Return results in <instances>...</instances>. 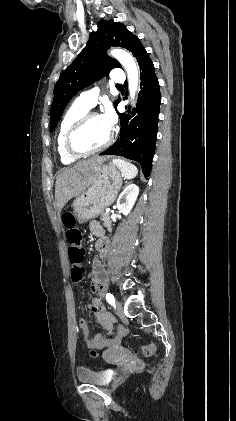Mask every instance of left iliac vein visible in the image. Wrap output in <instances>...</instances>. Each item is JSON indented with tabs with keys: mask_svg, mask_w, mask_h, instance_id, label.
<instances>
[{
	"mask_svg": "<svg viewBox=\"0 0 236 421\" xmlns=\"http://www.w3.org/2000/svg\"><path fill=\"white\" fill-rule=\"evenodd\" d=\"M122 310H123L122 304H121L120 301L117 300L116 301V313H117V315H121Z\"/></svg>",
	"mask_w": 236,
	"mask_h": 421,
	"instance_id": "obj_1",
	"label": "left iliac vein"
}]
</instances>
